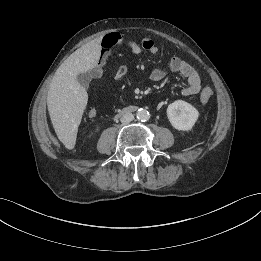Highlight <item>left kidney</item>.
Segmentation results:
<instances>
[{"label": "left kidney", "mask_w": 261, "mask_h": 261, "mask_svg": "<svg viewBox=\"0 0 261 261\" xmlns=\"http://www.w3.org/2000/svg\"><path fill=\"white\" fill-rule=\"evenodd\" d=\"M167 117L175 129L189 131L196 123L199 112L191 104L183 100H176L168 105Z\"/></svg>", "instance_id": "5707ae66"}]
</instances>
